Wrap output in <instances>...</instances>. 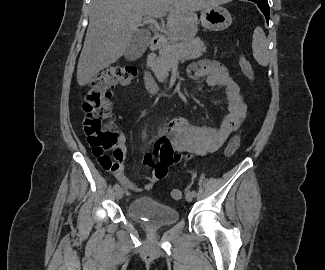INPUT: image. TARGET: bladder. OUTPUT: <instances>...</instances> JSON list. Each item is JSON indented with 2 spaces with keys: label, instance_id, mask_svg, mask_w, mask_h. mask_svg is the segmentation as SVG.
<instances>
[{
  "label": "bladder",
  "instance_id": "31cf9c89",
  "mask_svg": "<svg viewBox=\"0 0 325 270\" xmlns=\"http://www.w3.org/2000/svg\"><path fill=\"white\" fill-rule=\"evenodd\" d=\"M126 213L131 219L152 228L170 226L180 219L176 208L148 196L134 199L127 206Z\"/></svg>",
  "mask_w": 325,
  "mask_h": 270
}]
</instances>
